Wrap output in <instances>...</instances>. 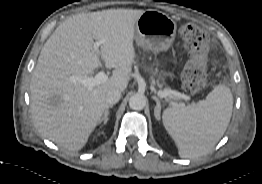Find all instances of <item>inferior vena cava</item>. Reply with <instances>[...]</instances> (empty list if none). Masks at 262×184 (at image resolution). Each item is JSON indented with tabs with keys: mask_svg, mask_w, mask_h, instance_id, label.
Listing matches in <instances>:
<instances>
[{
	"mask_svg": "<svg viewBox=\"0 0 262 184\" xmlns=\"http://www.w3.org/2000/svg\"><path fill=\"white\" fill-rule=\"evenodd\" d=\"M121 98V92L117 89H112L106 94V103L109 105H113L117 103Z\"/></svg>",
	"mask_w": 262,
	"mask_h": 184,
	"instance_id": "1",
	"label": "inferior vena cava"
}]
</instances>
